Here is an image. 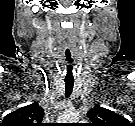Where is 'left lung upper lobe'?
I'll return each instance as SVG.
<instances>
[{
  "label": "left lung upper lobe",
  "instance_id": "1",
  "mask_svg": "<svg viewBox=\"0 0 135 126\" xmlns=\"http://www.w3.org/2000/svg\"><path fill=\"white\" fill-rule=\"evenodd\" d=\"M92 126H124L127 119L121 115L96 105L87 113Z\"/></svg>",
  "mask_w": 135,
  "mask_h": 126
}]
</instances>
